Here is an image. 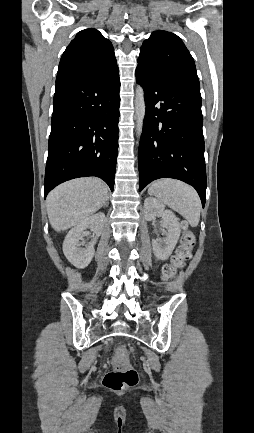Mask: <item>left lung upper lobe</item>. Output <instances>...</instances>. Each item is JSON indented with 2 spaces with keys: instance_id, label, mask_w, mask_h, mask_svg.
Returning a JSON list of instances; mask_svg holds the SVG:
<instances>
[{
  "instance_id": "5c2ea615",
  "label": "left lung upper lobe",
  "mask_w": 254,
  "mask_h": 433,
  "mask_svg": "<svg viewBox=\"0 0 254 433\" xmlns=\"http://www.w3.org/2000/svg\"><path fill=\"white\" fill-rule=\"evenodd\" d=\"M138 64L164 79L200 89L191 54L182 40L171 32H153L141 46Z\"/></svg>"
}]
</instances>
